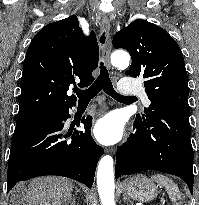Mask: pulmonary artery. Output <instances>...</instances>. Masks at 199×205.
Here are the masks:
<instances>
[{"label":"pulmonary artery","mask_w":199,"mask_h":205,"mask_svg":"<svg viewBox=\"0 0 199 205\" xmlns=\"http://www.w3.org/2000/svg\"><path fill=\"white\" fill-rule=\"evenodd\" d=\"M119 87L122 93L138 94L142 98L144 105L148 106L150 104V101L142 88L136 86H127L125 81H121Z\"/></svg>","instance_id":"1"}]
</instances>
